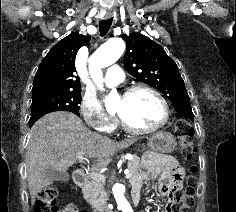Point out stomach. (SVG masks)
<instances>
[{"label": "stomach", "mask_w": 236, "mask_h": 212, "mask_svg": "<svg viewBox=\"0 0 236 212\" xmlns=\"http://www.w3.org/2000/svg\"><path fill=\"white\" fill-rule=\"evenodd\" d=\"M147 145L152 151L168 154L174 151L176 141L171 133L160 131L149 137Z\"/></svg>", "instance_id": "stomach-1"}]
</instances>
